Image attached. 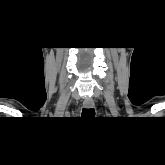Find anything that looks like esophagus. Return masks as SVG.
<instances>
[{
	"label": "esophagus",
	"mask_w": 165,
	"mask_h": 165,
	"mask_svg": "<svg viewBox=\"0 0 165 165\" xmlns=\"http://www.w3.org/2000/svg\"><path fill=\"white\" fill-rule=\"evenodd\" d=\"M83 106L87 109L94 107V101L92 99L84 100Z\"/></svg>",
	"instance_id": "esophagus-1"
}]
</instances>
